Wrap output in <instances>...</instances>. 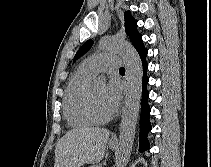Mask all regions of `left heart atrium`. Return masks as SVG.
<instances>
[{"label":"left heart atrium","instance_id":"1","mask_svg":"<svg viewBox=\"0 0 211 167\" xmlns=\"http://www.w3.org/2000/svg\"><path fill=\"white\" fill-rule=\"evenodd\" d=\"M103 97L111 114L116 112L121 101V85L116 78H111L104 88Z\"/></svg>","mask_w":211,"mask_h":167}]
</instances>
